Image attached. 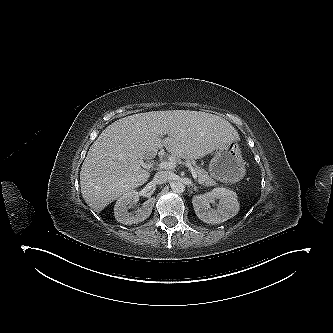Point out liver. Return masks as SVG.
Masks as SVG:
<instances>
[{
  "label": "liver",
  "mask_w": 333,
  "mask_h": 333,
  "mask_svg": "<svg viewBox=\"0 0 333 333\" xmlns=\"http://www.w3.org/2000/svg\"><path fill=\"white\" fill-rule=\"evenodd\" d=\"M164 134L168 137L162 139ZM237 140L230 123L205 112L151 111L121 118L90 147L80 172L82 196L99 213L148 180L150 173L141 162L154 158L163 146L174 156L193 160Z\"/></svg>",
  "instance_id": "obj_1"
}]
</instances>
